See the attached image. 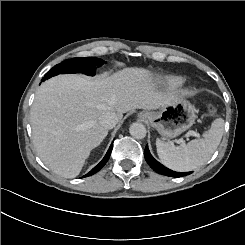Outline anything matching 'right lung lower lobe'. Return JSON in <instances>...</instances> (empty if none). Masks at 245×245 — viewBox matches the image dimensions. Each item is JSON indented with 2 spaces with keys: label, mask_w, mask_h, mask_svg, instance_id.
<instances>
[{
  "label": "right lung lower lobe",
  "mask_w": 245,
  "mask_h": 245,
  "mask_svg": "<svg viewBox=\"0 0 245 245\" xmlns=\"http://www.w3.org/2000/svg\"><path fill=\"white\" fill-rule=\"evenodd\" d=\"M112 147H113V145H111L109 147V150L107 151V153H106L105 157L103 158V160L97 166H95L89 173H87L83 177H87V176H91V175L95 174L96 172H98L106 164V162L108 161V159L110 157V154H111V151H112Z\"/></svg>",
  "instance_id": "1"
}]
</instances>
